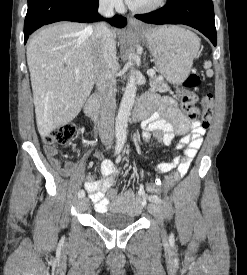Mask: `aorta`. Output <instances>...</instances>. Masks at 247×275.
I'll list each match as a JSON object with an SVG mask.
<instances>
[{"mask_svg":"<svg viewBox=\"0 0 247 275\" xmlns=\"http://www.w3.org/2000/svg\"><path fill=\"white\" fill-rule=\"evenodd\" d=\"M137 55L132 51L129 54L127 65L131 67V73L126 84L124 95L116 117L115 133L118 140H126L128 119L135 101L137 91L136 72L134 70V60Z\"/></svg>","mask_w":247,"mask_h":275,"instance_id":"1","label":"aorta"}]
</instances>
